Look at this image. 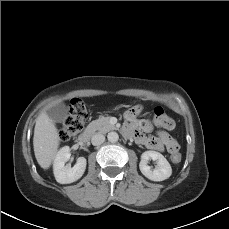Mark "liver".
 <instances>
[{
  "mask_svg": "<svg viewBox=\"0 0 229 229\" xmlns=\"http://www.w3.org/2000/svg\"><path fill=\"white\" fill-rule=\"evenodd\" d=\"M60 138L54 121L42 112L36 119L34 128L33 146L38 164L48 169L58 150Z\"/></svg>",
  "mask_w": 229,
  "mask_h": 229,
  "instance_id": "liver-1",
  "label": "liver"
}]
</instances>
